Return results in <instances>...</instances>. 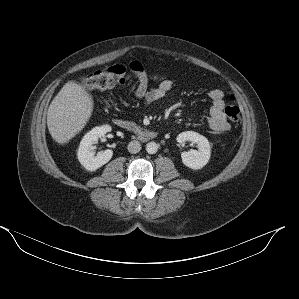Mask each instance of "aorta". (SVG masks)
Segmentation results:
<instances>
[{"mask_svg": "<svg viewBox=\"0 0 299 299\" xmlns=\"http://www.w3.org/2000/svg\"><path fill=\"white\" fill-rule=\"evenodd\" d=\"M158 150V145L155 142H149L146 145V151L148 154H155Z\"/></svg>", "mask_w": 299, "mask_h": 299, "instance_id": "obj_1", "label": "aorta"}]
</instances>
